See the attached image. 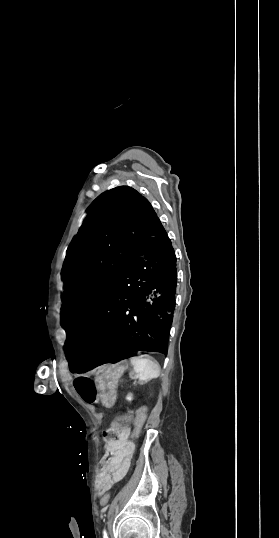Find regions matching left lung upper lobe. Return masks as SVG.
<instances>
[{"label":"left lung upper lobe","mask_w":279,"mask_h":538,"mask_svg":"<svg viewBox=\"0 0 279 538\" xmlns=\"http://www.w3.org/2000/svg\"><path fill=\"white\" fill-rule=\"evenodd\" d=\"M157 218L149 201L128 186L94 200L62 269L61 325L67 334L90 320Z\"/></svg>","instance_id":"1"}]
</instances>
